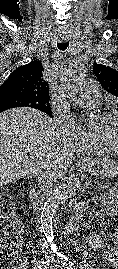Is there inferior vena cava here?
I'll list each match as a JSON object with an SVG mask.
<instances>
[{"label":"inferior vena cava","mask_w":118,"mask_h":269,"mask_svg":"<svg viewBox=\"0 0 118 269\" xmlns=\"http://www.w3.org/2000/svg\"><path fill=\"white\" fill-rule=\"evenodd\" d=\"M56 172L54 171L52 165L49 164H43L37 173V198L34 200L35 206H39L40 208H43L45 201V195L48 190V188L51 186L53 179L56 177ZM37 222L39 223L40 220L37 218ZM41 245H43L41 243Z\"/></svg>","instance_id":"obj_1"}]
</instances>
